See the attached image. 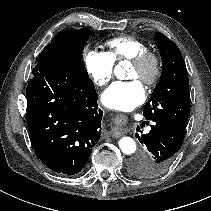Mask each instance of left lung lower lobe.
Segmentation results:
<instances>
[{
	"mask_svg": "<svg viewBox=\"0 0 211 211\" xmlns=\"http://www.w3.org/2000/svg\"><path fill=\"white\" fill-rule=\"evenodd\" d=\"M135 136L146 146L150 157L140 155L133 158L130 169L138 177L153 178L165 172L172 164L183 144L185 130L168 120L155 119L149 133H136Z\"/></svg>",
	"mask_w": 211,
	"mask_h": 211,
	"instance_id": "1",
	"label": "left lung lower lobe"
}]
</instances>
